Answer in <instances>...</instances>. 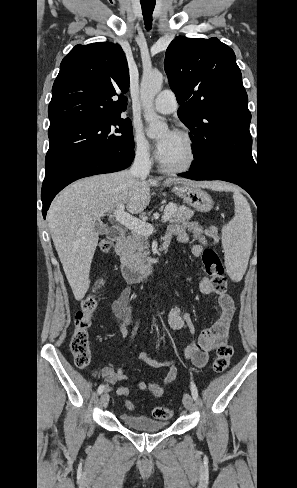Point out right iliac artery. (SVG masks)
Returning a JSON list of instances; mask_svg holds the SVG:
<instances>
[{"label": "right iliac artery", "instance_id": "right-iliac-artery-1", "mask_svg": "<svg viewBox=\"0 0 297 488\" xmlns=\"http://www.w3.org/2000/svg\"><path fill=\"white\" fill-rule=\"evenodd\" d=\"M137 329V327H135V330ZM104 391V385H100L98 387V394H101L102 392Z\"/></svg>", "mask_w": 297, "mask_h": 488}]
</instances>
